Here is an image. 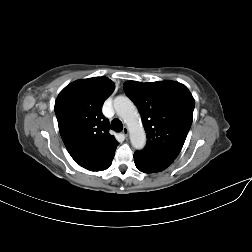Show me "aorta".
<instances>
[{"label": "aorta", "mask_w": 252, "mask_h": 252, "mask_svg": "<svg viewBox=\"0 0 252 252\" xmlns=\"http://www.w3.org/2000/svg\"><path fill=\"white\" fill-rule=\"evenodd\" d=\"M114 108L129 128L132 146L142 149L146 144V135L133 102L128 97L118 96L114 101Z\"/></svg>", "instance_id": "762f6f07"}]
</instances>
